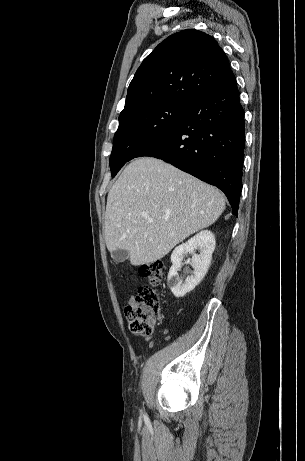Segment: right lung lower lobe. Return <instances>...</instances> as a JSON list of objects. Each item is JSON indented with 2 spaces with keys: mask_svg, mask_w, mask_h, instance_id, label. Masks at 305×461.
I'll use <instances>...</instances> for the list:
<instances>
[{
  "mask_svg": "<svg viewBox=\"0 0 305 461\" xmlns=\"http://www.w3.org/2000/svg\"><path fill=\"white\" fill-rule=\"evenodd\" d=\"M235 77L189 103L182 121L138 157L162 159L221 189L237 216L245 124Z\"/></svg>",
  "mask_w": 305,
  "mask_h": 461,
  "instance_id": "98d812e1",
  "label": "right lung lower lobe"
}]
</instances>
